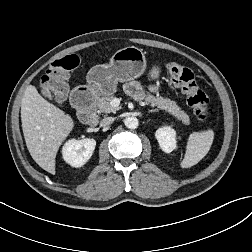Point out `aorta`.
I'll return each instance as SVG.
<instances>
[{"instance_id":"1","label":"aorta","mask_w":252,"mask_h":252,"mask_svg":"<svg viewBox=\"0 0 252 252\" xmlns=\"http://www.w3.org/2000/svg\"><path fill=\"white\" fill-rule=\"evenodd\" d=\"M139 125V121L136 117H128L125 119V126L129 129H136Z\"/></svg>"}]
</instances>
